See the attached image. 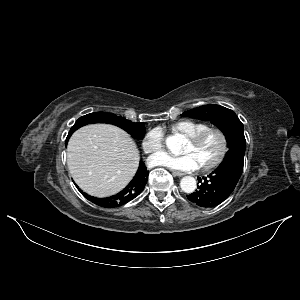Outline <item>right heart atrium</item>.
<instances>
[{"label":"right heart atrium","instance_id":"1","mask_svg":"<svg viewBox=\"0 0 300 300\" xmlns=\"http://www.w3.org/2000/svg\"><path fill=\"white\" fill-rule=\"evenodd\" d=\"M164 135L160 128L150 129L142 139V149L147 155H154L162 151Z\"/></svg>","mask_w":300,"mask_h":300}]
</instances>
